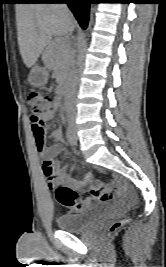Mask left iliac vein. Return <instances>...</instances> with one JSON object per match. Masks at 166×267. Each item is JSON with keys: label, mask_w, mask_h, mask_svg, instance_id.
<instances>
[{"label": "left iliac vein", "mask_w": 166, "mask_h": 267, "mask_svg": "<svg viewBox=\"0 0 166 267\" xmlns=\"http://www.w3.org/2000/svg\"><path fill=\"white\" fill-rule=\"evenodd\" d=\"M74 129H75V128H74ZM74 137H75V139H77V137H76L75 133H74Z\"/></svg>", "instance_id": "left-iliac-vein-1"}]
</instances>
